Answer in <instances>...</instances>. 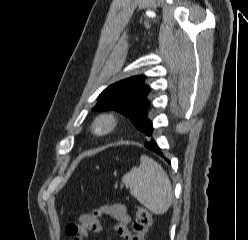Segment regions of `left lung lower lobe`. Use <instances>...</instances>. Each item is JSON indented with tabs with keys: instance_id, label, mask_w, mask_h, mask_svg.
Returning a JSON list of instances; mask_svg holds the SVG:
<instances>
[{
	"instance_id": "left-lung-lower-lobe-1",
	"label": "left lung lower lobe",
	"mask_w": 248,
	"mask_h": 240,
	"mask_svg": "<svg viewBox=\"0 0 248 240\" xmlns=\"http://www.w3.org/2000/svg\"><path fill=\"white\" fill-rule=\"evenodd\" d=\"M152 133H153V128H152V124H151V128H150V131L149 133L147 134L148 137H152ZM144 146L149 149L150 151H153L157 154H159L160 156L163 157V153L161 151V149L158 147L157 143L151 139L150 141H147Z\"/></svg>"
}]
</instances>
